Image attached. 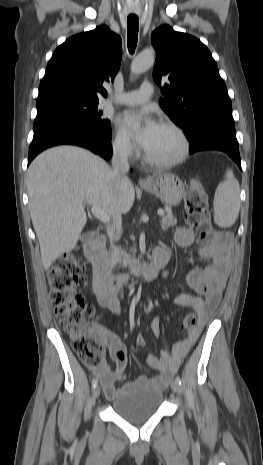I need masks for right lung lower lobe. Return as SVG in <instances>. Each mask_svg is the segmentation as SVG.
Returning <instances> with one entry per match:
<instances>
[{
    "label": "right lung lower lobe",
    "instance_id": "right-lung-lower-lobe-1",
    "mask_svg": "<svg viewBox=\"0 0 263 465\" xmlns=\"http://www.w3.org/2000/svg\"><path fill=\"white\" fill-rule=\"evenodd\" d=\"M111 130L98 133L86 127L73 124H56L34 131L30 144L28 164L43 150L62 144L87 148L105 159L112 156Z\"/></svg>",
    "mask_w": 263,
    "mask_h": 465
}]
</instances>
